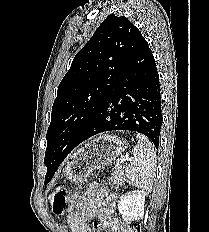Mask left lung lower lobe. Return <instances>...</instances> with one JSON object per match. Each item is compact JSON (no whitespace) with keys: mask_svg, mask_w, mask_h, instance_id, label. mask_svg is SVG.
Returning a JSON list of instances; mask_svg holds the SVG:
<instances>
[{"mask_svg":"<svg viewBox=\"0 0 209 232\" xmlns=\"http://www.w3.org/2000/svg\"><path fill=\"white\" fill-rule=\"evenodd\" d=\"M161 112L159 75L142 36L116 86L79 135L75 147L101 132L128 130L144 134L158 149Z\"/></svg>","mask_w":209,"mask_h":232,"instance_id":"obj_1","label":"left lung lower lobe"}]
</instances>
